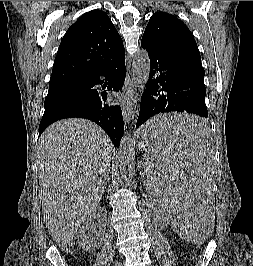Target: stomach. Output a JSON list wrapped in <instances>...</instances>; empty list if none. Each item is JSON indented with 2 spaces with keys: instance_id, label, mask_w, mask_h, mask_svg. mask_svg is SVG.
I'll use <instances>...</instances> for the list:
<instances>
[{
  "instance_id": "1",
  "label": "stomach",
  "mask_w": 253,
  "mask_h": 266,
  "mask_svg": "<svg viewBox=\"0 0 253 266\" xmlns=\"http://www.w3.org/2000/svg\"><path fill=\"white\" fill-rule=\"evenodd\" d=\"M143 138H150L148 136V132H144V126L137 133V140L142 149H143V144H142Z\"/></svg>"
}]
</instances>
